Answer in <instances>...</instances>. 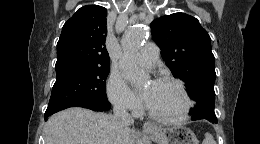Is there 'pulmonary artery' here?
Wrapping results in <instances>:
<instances>
[{
    "instance_id": "obj_1",
    "label": "pulmonary artery",
    "mask_w": 260,
    "mask_h": 144,
    "mask_svg": "<svg viewBox=\"0 0 260 144\" xmlns=\"http://www.w3.org/2000/svg\"><path fill=\"white\" fill-rule=\"evenodd\" d=\"M136 59L140 66L152 68L159 61V51L155 45L147 44L137 54Z\"/></svg>"
}]
</instances>
